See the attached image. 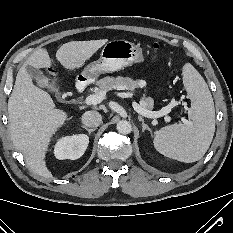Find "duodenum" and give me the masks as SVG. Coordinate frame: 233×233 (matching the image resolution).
I'll list each match as a JSON object with an SVG mask.
<instances>
[{
	"label": "duodenum",
	"instance_id": "obj_1",
	"mask_svg": "<svg viewBox=\"0 0 233 233\" xmlns=\"http://www.w3.org/2000/svg\"><path fill=\"white\" fill-rule=\"evenodd\" d=\"M85 88H86V81L85 80L81 79L76 83V90L79 93L83 92Z\"/></svg>",
	"mask_w": 233,
	"mask_h": 233
}]
</instances>
